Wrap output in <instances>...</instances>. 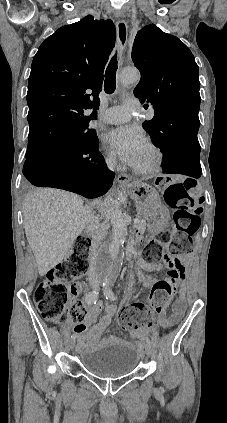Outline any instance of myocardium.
I'll list each match as a JSON object with an SVG mask.
<instances>
[{"label": "myocardium", "instance_id": "obj_1", "mask_svg": "<svg viewBox=\"0 0 227 423\" xmlns=\"http://www.w3.org/2000/svg\"><path fill=\"white\" fill-rule=\"evenodd\" d=\"M146 145L153 151L154 153V160L153 162L146 166V167H138L134 166V172L141 174V175H150L155 174L161 171L164 162H165V152L161 146L153 141H149Z\"/></svg>", "mask_w": 227, "mask_h": 423}]
</instances>
